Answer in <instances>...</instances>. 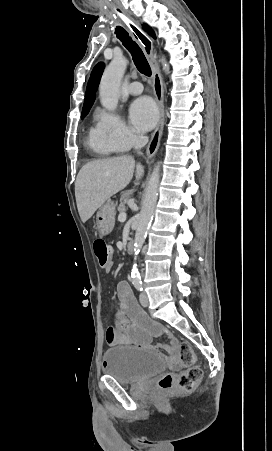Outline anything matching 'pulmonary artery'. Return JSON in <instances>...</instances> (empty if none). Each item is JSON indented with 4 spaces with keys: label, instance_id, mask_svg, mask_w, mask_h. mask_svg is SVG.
Returning a JSON list of instances; mask_svg holds the SVG:
<instances>
[{
    "label": "pulmonary artery",
    "instance_id": "obj_1",
    "mask_svg": "<svg viewBox=\"0 0 272 451\" xmlns=\"http://www.w3.org/2000/svg\"><path fill=\"white\" fill-rule=\"evenodd\" d=\"M126 90L127 93L131 95H139L142 92L143 87L141 86V82L136 80L134 83H131Z\"/></svg>",
    "mask_w": 272,
    "mask_h": 451
}]
</instances>
